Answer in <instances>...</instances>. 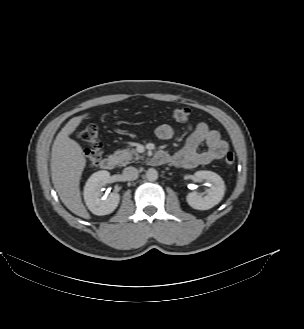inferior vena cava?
<instances>
[{
  "label": "inferior vena cava",
  "mask_w": 304,
  "mask_h": 329,
  "mask_svg": "<svg viewBox=\"0 0 304 329\" xmlns=\"http://www.w3.org/2000/svg\"><path fill=\"white\" fill-rule=\"evenodd\" d=\"M123 176L127 181H133L138 178V170L135 167L129 166L123 170Z\"/></svg>",
  "instance_id": "1"
}]
</instances>
